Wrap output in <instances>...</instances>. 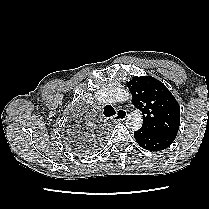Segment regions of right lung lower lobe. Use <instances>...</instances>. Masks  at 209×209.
<instances>
[{"mask_svg":"<svg viewBox=\"0 0 209 209\" xmlns=\"http://www.w3.org/2000/svg\"><path fill=\"white\" fill-rule=\"evenodd\" d=\"M99 145H100V141L94 140V139L90 141H83V142L78 141L74 145V149L79 153H89V152L95 151V149H97Z\"/></svg>","mask_w":209,"mask_h":209,"instance_id":"obj_1","label":"right lung lower lobe"}]
</instances>
